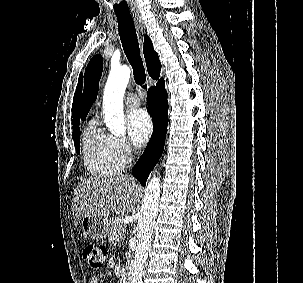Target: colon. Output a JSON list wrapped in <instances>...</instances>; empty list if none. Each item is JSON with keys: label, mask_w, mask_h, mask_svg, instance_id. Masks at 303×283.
I'll return each instance as SVG.
<instances>
[{"label": "colon", "mask_w": 303, "mask_h": 283, "mask_svg": "<svg viewBox=\"0 0 303 283\" xmlns=\"http://www.w3.org/2000/svg\"><path fill=\"white\" fill-rule=\"evenodd\" d=\"M109 255V248L101 243H88L82 249L84 261L93 270L102 268Z\"/></svg>", "instance_id": "1"}]
</instances>
